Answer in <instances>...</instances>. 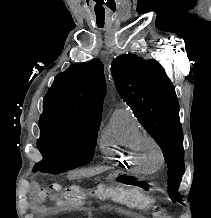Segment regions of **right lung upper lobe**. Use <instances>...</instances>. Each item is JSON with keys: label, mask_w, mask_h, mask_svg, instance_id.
I'll return each instance as SVG.
<instances>
[{"label": "right lung upper lobe", "mask_w": 211, "mask_h": 218, "mask_svg": "<svg viewBox=\"0 0 211 218\" xmlns=\"http://www.w3.org/2000/svg\"><path fill=\"white\" fill-rule=\"evenodd\" d=\"M105 92L101 60L73 64L55 77L43 100V113L101 118Z\"/></svg>", "instance_id": "right-lung-upper-lobe-1"}]
</instances>
